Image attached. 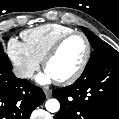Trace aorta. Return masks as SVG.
Returning <instances> with one entry per match:
<instances>
[{
    "instance_id": "762f6f07",
    "label": "aorta",
    "mask_w": 119,
    "mask_h": 119,
    "mask_svg": "<svg viewBox=\"0 0 119 119\" xmlns=\"http://www.w3.org/2000/svg\"><path fill=\"white\" fill-rule=\"evenodd\" d=\"M46 109L47 111L51 112V113H55L58 112L60 109V103L57 99H49L46 104Z\"/></svg>"
}]
</instances>
